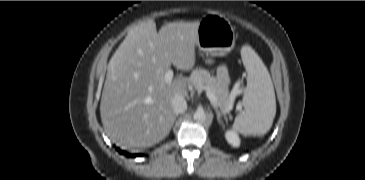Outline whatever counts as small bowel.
<instances>
[{
	"mask_svg": "<svg viewBox=\"0 0 365 180\" xmlns=\"http://www.w3.org/2000/svg\"><path fill=\"white\" fill-rule=\"evenodd\" d=\"M218 77L221 79V80H224L225 79V73L223 70H218Z\"/></svg>",
	"mask_w": 365,
	"mask_h": 180,
	"instance_id": "c3829d8e",
	"label": "small bowel"
}]
</instances>
